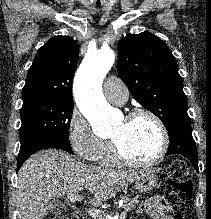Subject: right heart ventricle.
<instances>
[{"instance_id": "e07e8e85", "label": "right heart ventricle", "mask_w": 211, "mask_h": 219, "mask_svg": "<svg viewBox=\"0 0 211 219\" xmlns=\"http://www.w3.org/2000/svg\"><path fill=\"white\" fill-rule=\"evenodd\" d=\"M98 162L103 166H116L117 159L114 156L112 146L110 145L105 152L99 157Z\"/></svg>"}]
</instances>
